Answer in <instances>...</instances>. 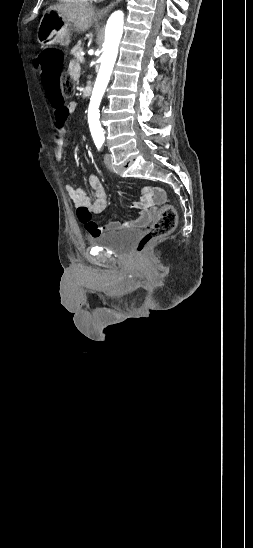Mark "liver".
I'll list each match as a JSON object with an SVG mask.
<instances>
[{
    "label": "liver",
    "instance_id": "liver-1",
    "mask_svg": "<svg viewBox=\"0 0 253 548\" xmlns=\"http://www.w3.org/2000/svg\"><path fill=\"white\" fill-rule=\"evenodd\" d=\"M48 10L56 11L80 32L87 31L95 17L94 8L86 4H57L50 6Z\"/></svg>",
    "mask_w": 253,
    "mask_h": 548
}]
</instances>
